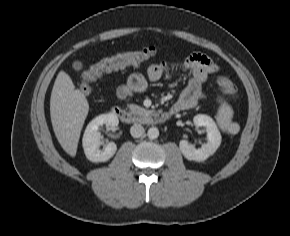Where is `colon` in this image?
<instances>
[{"instance_id":"5ec220e1","label":"colon","mask_w":290,"mask_h":236,"mask_svg":"<svg viewBox=\"0 0 290 236\" xmlns=\"http://www.w3.org/2000/svg\"><path fill=\"white\" fill-rule=\"evenodd\" d=\"M157 54L154 47H146L140 50L116 53L114 55L104 57L99 62L90 66L82 74L80 89L83 93L89 94L92 91V83L102 73L125 66L136 65L145 60L153 58ZM218 83L230 100H236L239 97L238 90L234 83L227 77H219Z\"/></svg>"}]
</instances>
